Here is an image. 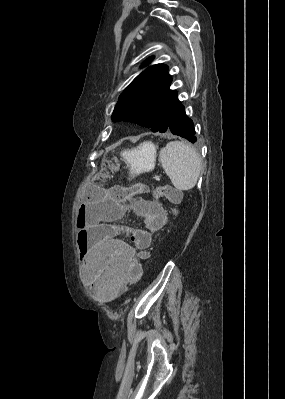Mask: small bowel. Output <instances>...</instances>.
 Wrapping results in <instances>:
<instances>
[{
    "label": "small bowel",
    "instance_id": "c3829d8e",
    "mask_svg": "<svg viewBox=\"0 0 285 399\" xmlns=\"http://www.w3.org/2000/svg\"><path fill=\"white\" fill-rule=\"evenodd\" d=\"M116 214H134L141 220L142 227L128 231V242L102 229L78 233V240L84 242L87 251L85 272L93 279L96 292L106 300L119 296L134 281L130 277L132 263L148 256L151 236L158 233L167 220L165 211L155 204L129 205Z\"/></svg>",
    "mask_w": 285,
    "mask_h": 399
}]
</instances>
